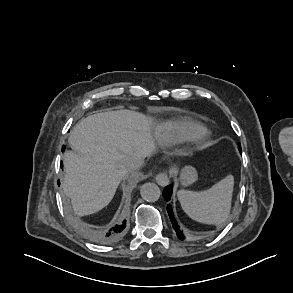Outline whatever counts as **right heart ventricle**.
<instances>
[{
  "instance_id": "1",
  "label": "right heart ventricle",
  "mask_w": 293,
  "mask_h": 293,
  "mask_svg": "<svg viewBox=\"0 0 293 293\" xmlns=\"http://www.w3.org/2000/svg\"><path fill=\"white\" fill-rule=\"evenodd\" d=\"M199 124L188 117H176L161 121L157 133L165 144H176L191 137Z\"/></svg>"
}]
</instances>
